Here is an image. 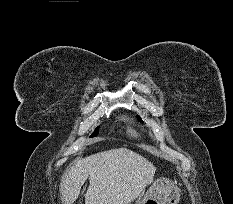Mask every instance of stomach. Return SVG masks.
I'll return each instance as SVG.
<instances>
[{
    "label": "stomach",
    "mask_w": 233,
    "mask_h": 204,
    "mask_svg": "<svg viewBox=\"0 0 233 204\" xmlns=\"http://www.w3.org/2000/svg\"><path fill=\"white\" fill-rule=\"evenodd\" d=\"M179 197L177 184L166 177H160L150 185L139 204H177Z\"/></svg>",
    "instance_id": "0dacf381"
}]
</instances>
